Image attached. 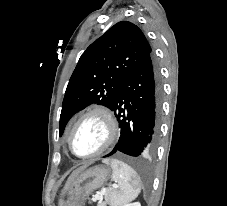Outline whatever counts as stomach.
I'll return each instance as SVG.
<instances>
[{"instance_id": "stomach-1", "label": "stomach", "mask_w": 227, "mask_h": 206, "mask_svg": "<svg viewBox=\"0 0 227 206\" xmlns=\"http://www.w3.org/2000/svg\"><path fill=\"white\" fill-rule=\"evenodd\" d=\"M110 170L102 165L91 167L82 172L69 188L71 193L70 206H82L87 197L99 189L108 180ZM64 200V199H62ZM65 202L61 206H66Z\"/></svg>"}]
</instances>
